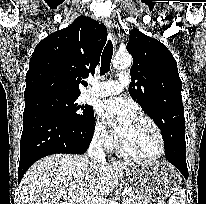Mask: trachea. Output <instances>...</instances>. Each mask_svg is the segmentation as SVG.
Masks as SVG:
<instances>
[{
	"mask_svg": "<svg viewBox=\"0 0 206 204\" xmlns=\"http://www.w3.org/2000/svg\"><path fill=\"white\" fill-rule=\"evenodd\" d=\"M112 55H113V44L111 40H108V43L106 44L101 56L100 75H104L106 72L110 70Z\"/></svg>",
	"mask_w": 206,
	"mask_h": 204,
	"instance_id": "1",
	"label": "trachea"
}]
</instances>
